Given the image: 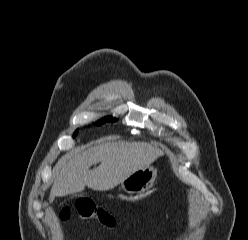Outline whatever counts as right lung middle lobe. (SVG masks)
<instances>
[{
    "mask_svg": "<svg viewBox=\"0 0 248 240\" xmlns=\"http://www.w3.org/2000/svg\"><path fill=\"white\" fill-rule=\"evenodd\" d=\"M115 121H116L115 118L107 117V118H104V119H102V120H99V121L97 122V124L100 125V124H103V123H105V122H115ZM77 133H78V130H76V131L74 132L73 137H75V136L77 135Z\"/></svg>",
    "mask_w": 248,
    "mask_h": 240,
    "instance_id": "obj_1",
    "label": "right lung middle lobe"
}]
</instances>
